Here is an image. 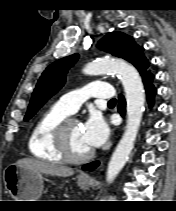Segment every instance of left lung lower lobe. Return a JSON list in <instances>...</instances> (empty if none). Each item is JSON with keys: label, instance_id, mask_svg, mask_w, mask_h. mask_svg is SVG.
I'll return each instance as SVG.
<instances>
[{"label": "left lung lower lobe", "instance_id": "0a47b994", "mask_svg": "<svg viewBox=\"0 0 176 211\" xmlns=\"http://www.w3.org/2000/svg\"><path fill=\"white\" fill-rule=\"evenodd\" d=\"M152 78H153L152 76L148 78H143L146 92H147L148 102L150 106L154 102V94H155V88L151 84ZM118 111L121 113V115H124L125 113V100L122 95L119 96ZM98 164L99 162H92V163L84 165L83 169L89 171V170L95 169L98 166Z\"/></svg>", "mask_w": 176, "mask_h": 211}]
</instances>
